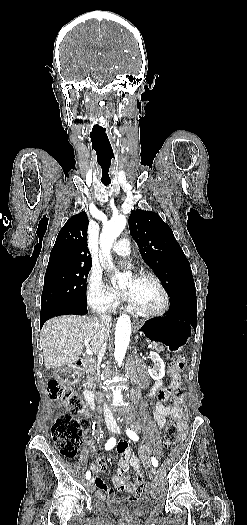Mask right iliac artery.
<instances>
[{"instance_id":"right-iliac-artery-1","label":"right iliac artery","mask_w":247,"mask_h":525,"mask_svg":"<svg viewBox=\"0 0 247 525\" xmlns=\"http://www.w3.org/2000/svg\"><path fill=\"white\" fill-rule=\"evenodd\" d=\"M116 445V439L115 437H112L110 438L107 443L105 444V449L106 450H110L112 449L114 446ZM91 478V473L90 471H87L86 472V479H90Z\"/></svg>"}]
</instances>
